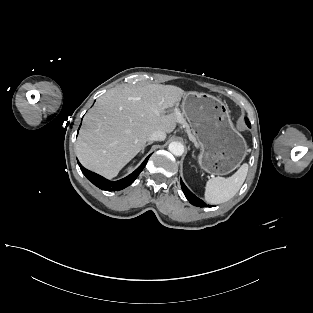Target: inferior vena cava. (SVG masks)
<instances>
[{
	"instance_id": "602c4592",
	"label": "inferior vena cava",
	"mask_w": 313,
	"mask_h": 313,
	"mask_svg": "<svg viewBox=\"0 0 313 313\" xmlns=\"http://www.w3.org/2000/svg\"><path fill=\"white\" fill-rule=\"evenodd\" d=\"M166 137V133L162 130H157L152 132L149 137H148V141H162L164 140Z\"/></svg>"
}]
</instances>
